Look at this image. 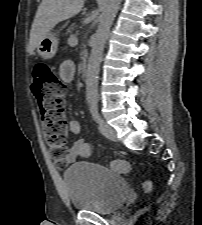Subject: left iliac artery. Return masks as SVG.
Instances as JSON below:
<instances>
[{"mask_svg": "<svg viewBox=\"0 0 202 225\" xmlns=\"http://www.w3.org/2000/svg\"><path fill=\"white\" fill-rule=\"evenodd\" d=\"M89 105H90V112L92 114L93 119L97 123H101L102 119H101V117L99 115V112H98L97 101L96 100L90 101Z\"/></svg>", "mask_w": 202, "mask_h": 225, "instance_id": "44dca946", "label": "left iliac artery"}]
</instances>
